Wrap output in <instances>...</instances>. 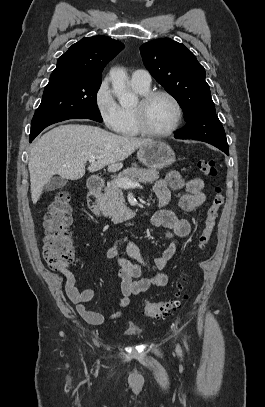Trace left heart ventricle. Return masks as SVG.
<instances>
[{"instance_id": "1", "label": "left heart ventricle", "mask_w": 265, "mask_h": 407, "mask_svg": "<svg viewBox=\"0 0 265 407\" xmlns=\"http://www.w3.org/2000/svg\"><path fill=\"white\" fill-rule=\"evenodd\" d=\"M175 119V106L166 97L155 98L146 109V124L152 131L163 132L168 130Z\"/></svg>"}]
</instances>
